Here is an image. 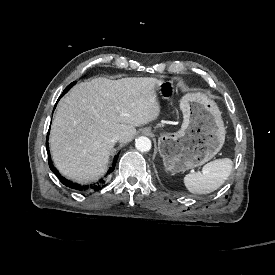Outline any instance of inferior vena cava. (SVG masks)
Instances as JSON below:
<instances>
[{"instance_id": "obj_1", "label": "inferior vena cava", "mask_w": 275, "mask_h": 275, "mask_svg": "<svg viewBox=\"0 0 275 275\" xmlns=\"http://www.w3.org/2000/svg\"><path fill=\"white\" fill-rule=\"evenodd\" d=\"M122 136H123L122 132H115L111 136V141L115 143V142L121 140Z\"/></svg>"}]
</instances>
